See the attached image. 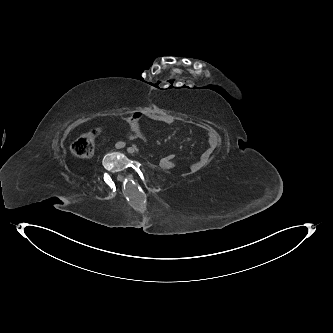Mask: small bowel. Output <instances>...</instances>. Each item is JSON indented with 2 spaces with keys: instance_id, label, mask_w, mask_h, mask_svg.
<instances>
[{
  "instance_id": "1",
  "label": "small bowel",
  "mask_w": 333,
  "mask_h": 333,
  "mask_svg": "<svg viewBox=\"0 0 333 333\" xmlns=\"http://www.w3.org/2000/svg\"><path fill=\"white\" fill-rule=\"evenodd\" d=\"M143 119H148L151 121L159 122L165 125H169L174 122V118L168 114H161L154 111H146V112H137L133 115L127 117L125 119V123L128 127V137H144V133L141 129V121ZM208 137H210V133L208 132ZM212 155V148L209 146L201 156L194 162L190 164L191 170H199L208 164ZM160 167L163 169H172L175 167V159H170V161H165V164L160 163Z\"/></svg>"
}]
</instances>
